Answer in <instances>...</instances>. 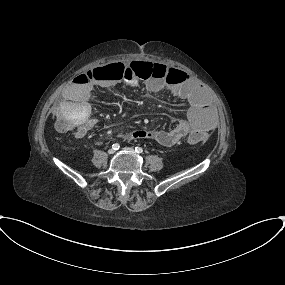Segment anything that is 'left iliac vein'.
<instances>
[{"instance_id":"obj_1","label":"left iliac vein","mask_w":285,"mask_h":285,"mask_svg":"<svg viewBox=\"0 0 285 285\" xmlns=\"http://www.w3.org/2000/svg\"><path fill=\"white\" fill-rule=\"evenodd\" d=\"M123 150L130 152V153H134V149L130 147H124Z\"/></svg>"}]
</instances>
